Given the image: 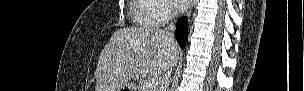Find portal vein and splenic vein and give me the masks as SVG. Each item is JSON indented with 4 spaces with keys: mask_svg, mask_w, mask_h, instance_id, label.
I'll use <instances>...</instances> for the list:
<instances>
[{
    "mask_svg": "<svg viewBox=\"0 0 304 91\" xmlns=\"http://www.w3.org/2000/svg\"><path fill=\"white\" fill-rule=\"evenodd\" d=\"M145 84H146V87L149 89L156 88V86L158 85V79L151 78V79L147 80V82Z\"/></svg>",
    "mask_w": 304,
    "mask_h": 91,
    "instance_id": "portal-vein-and-splenic-vein-1",
    "label": "portal vein and splenic vein"
}]
</instances>
